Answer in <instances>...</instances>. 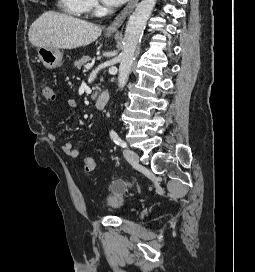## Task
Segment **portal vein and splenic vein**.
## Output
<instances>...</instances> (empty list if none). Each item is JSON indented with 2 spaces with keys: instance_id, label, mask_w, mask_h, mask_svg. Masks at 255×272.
Returning <instances> with one entry per match:
<instances>
[{
  "instance_id": "obj_1",
  "label": "portal vein and splenic vein",
  "mask_w": 255,
  "mask_h": 272,
  "mask_svg": "<svg viewBox=\"0 0 255 272\" xmlns=\"http://www.w3.org/2000/svg\"><path fill=\"white\" fill-rule=\"evenodd\" d=\"M85 68L87 69V70H89V69H91L92 68V64H86V66H85Z\"/></svg>"
}]
</instances>
